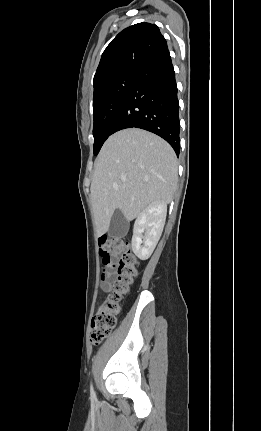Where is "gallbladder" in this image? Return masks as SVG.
Segmentation results:
<instances>
[{
  "label": "gallbladder",
  "mask_w": 261,
  "mask_h": 431,
  "mask_svg": "<svg viewBox=\"0 0 261 431\" xmlns=\"http://www.w3.org/2000/svg\"><path fill=\"white\" fill-rule=\"evenodd\" d=\"M128 221L120 210H116L111 218L108 235L113 238L122 237L128 231Z\"/></svg>",
  "instance_id": "obj_1"
}]
</instances>
